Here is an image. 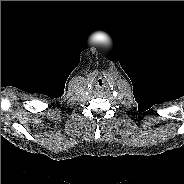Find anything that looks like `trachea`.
<instances>
[{"instance_id": "3493384b", "label": "trachea", "mask_w": 184, "mask_h": 184, "mask_svg": "<svg viewBox=\"0 0 184 184\" xmlns=\"http://www.w3.org/2000/svg\"><path fill=\"white\" fill-rule=\"evenodd\" d=\"M95 88L96 89H102V88H104V86H105V82H104V80H102V79H98V80H96L95 81Z\"/></svg>"}]
</instances>
